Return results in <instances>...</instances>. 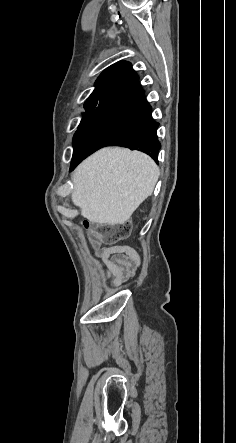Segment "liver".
<instances>
[{"label":"liver","mask_w":236,"mask_h":443,"mask_svg":"<svg viewBox=\"0 0 236 443\" xmlns=\"http://www.w3.org/2000/svg\"><path fill=\"white\" fill-rule=\"evenodd\" d=\"M159 168L146 154L119 147L103 148L75 170L71 195L81 215L98 224H125L152 194Z\"/></svg>","instance_id":"liver-1"}]
</instances>
